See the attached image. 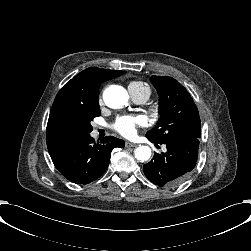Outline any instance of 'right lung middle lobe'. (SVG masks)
<instances>
[{
    "instance_id": "dd1d6c3e",
    "label": "right lung middle lobe",
    "mask_w": 251,
    "mask_h": 251,
    "mask_svg": "<svg viewBox=\"0 0 251 251\" xmlns=\"http://www.w3.org/2000/svg\"><path fill=\"white\" fill-rule=\"evenodd\" d=\"M100 114L101 112L99 105H97L74 112L71 116V120L79 130L80 134L84 137L88 136L89 133L93 130L91 121L95 117L100 116Z\"/></svg>"
}]
</instances>
